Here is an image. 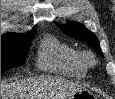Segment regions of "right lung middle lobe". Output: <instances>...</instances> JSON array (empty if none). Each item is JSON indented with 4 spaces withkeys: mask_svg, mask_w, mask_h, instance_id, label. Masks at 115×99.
<instances>
[{
    "mask_svg": "<svg viewBox=\"0 0 115 99\" xmlns=\"http://www.w3.org/2000/svg\"><path fill=\"white\" fill-rule=\"evenodd\" d=\"M34 34L1 37V72L24 63Z\"/></svg>",
    "mask_w": 115,
    "mask_h": 99,
    "instance_id": "obj_1",
    "label": "right lung middle lobe"
}]
</instances>
